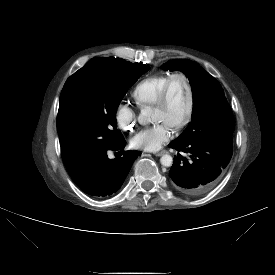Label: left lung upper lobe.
<instances>
[{"label": "left lung upper lobe", "instance_id": "5c2ea615", "mask_svg": "<svg viewBox=\"0 0 275 275\" xmlns=\"http://www.w3.org/2000/svg\"><path fill=\"white\" fill-rule=\"evenodd\" d=\"M162 68L182 71L188 77L193 92L192 122L174 142L216 140L232 144L235 122L220 83L188 59L169 60Z\"/></svg>", "mask_w": 275, "mask_h": 275}]
</instances>
